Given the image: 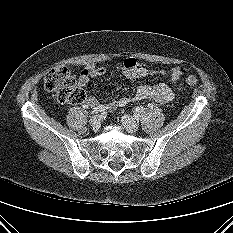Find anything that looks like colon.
<instances>
[{"mask_svg": "<svg viewBox=\"0 0 233 233\" xmlns=\"http://www.w3.org/2000/svg\"><path fill=\"white\" fill-rule=\"evenodd\" d=\"M184 74L185 71H182ZM186 84L194 87L197 80L192 75H187ZM46 91L56 96L60 103L79 104L85 100L84 91L77 86L75 78L70 70L64 66L56 67L48 71L44 77Z\"/></svg>", "mask_w": 233, "mask_h": 233, "instance_id": "obj_1", "label": "colon"}]
</instances>
